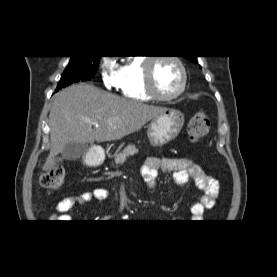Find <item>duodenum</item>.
Here are the masks:
<instances>
[{"label": "duodenum", "instance_id": "obj_1", "mask_svg": "<svg viewBox=\"0 0 277 277\" xmlns=\"http://www.w3.org/2000/svg\"><path fill=\"white\" fill-rule=\"evenodd\" d=\"M105 157V153L100 150H92L87 158V165L90 167H94L100 164Z\"/></svg>", "mask_w": 277, "mask_h": 277}]
</instances>
